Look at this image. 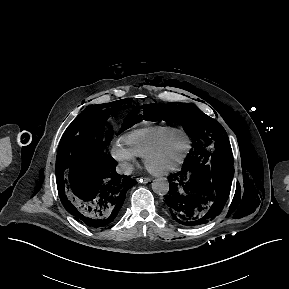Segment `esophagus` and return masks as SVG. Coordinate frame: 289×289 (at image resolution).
Masks as SVG:
<instances>
[{
    "mask_svg": "<svg viewBox=\"0 0 289 289\" xmlns=\"http://www.w3.org/2000/svg\"><path fill=\"white\" fill-rule=\"evenodd\" d=\"M152 181L151 178H148V177H144V178H141L140 179V182L144 183V184H148Z\"/></svg>",
    "mask_w": 289,
    "mask_h": 289,
    "instance_id": "1",
    "label": "esophagus"
}]
</instances>
